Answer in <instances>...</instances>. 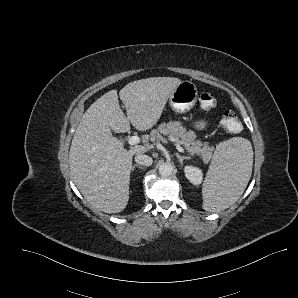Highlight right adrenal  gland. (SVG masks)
I'll use <instances>...</instances> for the list:
<instances>
[{
    "label": "right adrenal gland",
    "mask_w": 298,
    "mask_h": 298,
    "mask_svg": "<svg viewBox=\"0 0 298 298\" xmlns=\"http://www.w3.org/2000/svg\"><path fill=\"white\" fill-rule=\"evenodd\" d=\"M136 167H139L140 169H143V168H144V167H143L142 165H140V164H134V165L131 167V171H134V169H135Z\"/></svg>",
    "instance_id": "obj_1"
}]
</instances>
